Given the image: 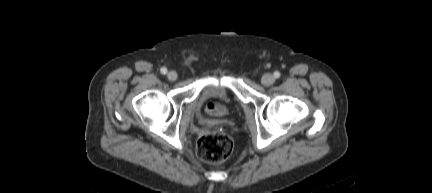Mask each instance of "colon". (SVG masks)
Here are the masks:
<instances>
[{
	"instance_id": "obj_1",
	"label": "colon",
	"mask_w": 432,
	"mask_h": 193,
	"mask_svg": "<svg viewBox=\"0 0 432 193\" xmlns=\"http://www.w3.org/2000/svg\"><path fill=\"white\" fill-rule=\"evenodd\" d=\"M234 143L230 136L220 133L207 134L197 144V155L209 163L226 160L233 152Z\"/></svg>"
}]
</instances>
